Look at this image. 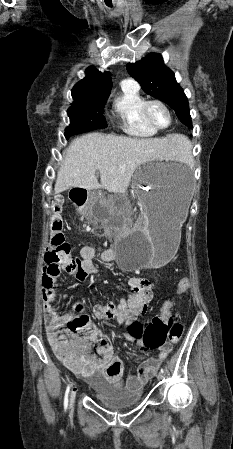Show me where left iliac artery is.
<instances>
[{
  "label": "left iliac artery",
  "mask_w": 233,
  "mask_h": 449,
  "mask_svg": "<svg viewBox=\"0 0 233 449\" xmlns=\"http://www.w3.org/2000/svg\"><path fill=\"white\" fill-rule=\"evenodd\" d=\"M162 374L164 373V369L163 368H161V371H160Z\"/></svg>",
  "instance_id": "left-iliac-artery-1"
}]
</instances>
